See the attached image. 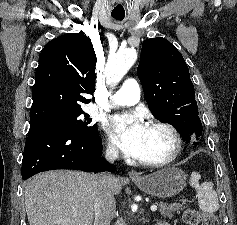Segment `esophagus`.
Returning a JSON list of instances; mask_svg holds the SVG:
<instances>
[{
    "mask_svg": "<svg viewBox=\"0 0 237 225\" xmlns=\"http://www.w3.org/2000/svg\"><path fill=\"white\" fill-rule=\"evenodd\" d=\"M129 177H132V178H135V177H139V174L134 171V170H131L129 173H128Z\"/></svg>",
    "mask_w": 237,
    "mask_h": 225,
    "instance_id": "esophagus-1",
    "label": "esophagus"
}]
</instances>
